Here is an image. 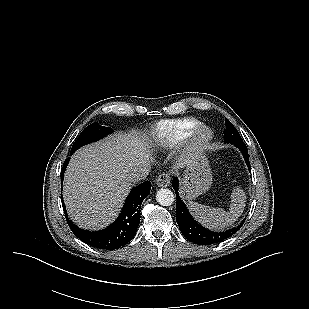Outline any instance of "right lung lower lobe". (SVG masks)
<instances>
[{
	"instance_id": "right-lung-lower-lobe-1",
	"label": "right lung lower lobe",
	"mask_w": 309,
	"mask_h": 309,
	"mask_svg": "<svg viewBox=\"0 0 309 309\" xmlns=\"http://www.w3.org/2000/svg\"><path fill=\"white\" fill-rule=\"evenodd\" d=\"M74 152L71 151V154ZM70 158L64 162L61 170V181ZM151 183L145 181L131 190L118 218L107 228L91 232L80 229L68 218L62 199V207L70 229L76 237L98 249L114 250L130 242L136 234L140 222V207L144 198L150 194Z\"/></svg>"
}]
</instances>
